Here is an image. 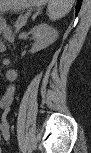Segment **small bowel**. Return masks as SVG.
I'll list each match as a JSON object with an SVG mask.
<instances>
[{"mask_svg":"<svg viewBox=\"0 0 91 153\" xmlns=\"http://www.w3.org/2000/svg\"><path fill=\"white\" fill-rule=\"evenodd\" d=\"M14 97V89L9 88L7 91L3 94L0 100V107L3 111V117L0 121V131L5 140H9L10 138V126L7 121V113L9 112Z\"/></svg>","mask_w":91,"mask_h":153,"instance_id":"small-bowel-1","label":"small bowel"}]
</instances>
